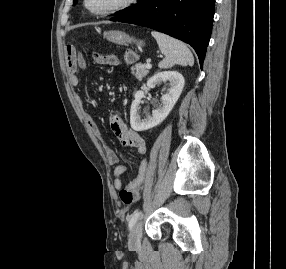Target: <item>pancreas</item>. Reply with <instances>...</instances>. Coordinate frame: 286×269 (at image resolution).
<instances>
[{
	"instance_id": "obj_1",
	"label": "pancreas",
	"mask_w": 286,
	"mask_h": 269,
	"mask_svg": "<svg viewBox=\"0 0 286 269\" xmlns=\"http://www.w3.org/2000/svg\"><path fill=\"white\" fill-rule=\"evenodd\" d=\"M131 72L138 80H142L143 77L148 74L149 69L146 67V65L138 63L135 66L131 67Z\"/></svg>"
}]
</instances>
